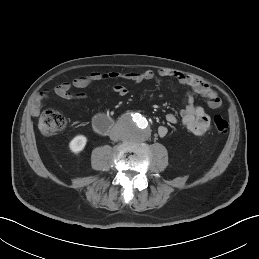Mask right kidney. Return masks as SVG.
<instances>
[{
    "label": "right kidney",
    "instance_id": "obj_1",
    "mask_svg": "<svg viewBox=\"0 0 259 259\" xmlns=\"http://www.w3.org/2000/svg\"><path fill=\"white\" fill-rule=\"evenodd\" d=\"M87 143V138L84 135L75 136L69 143V148L74 153L81 152Z\"/></svg>",
    "mask_w": 259,
    "mask_h": 259
}]
</instances>
